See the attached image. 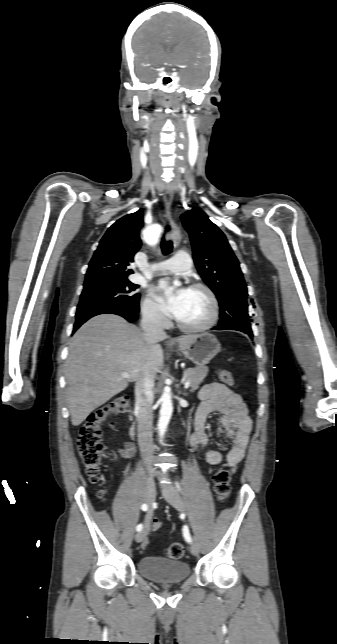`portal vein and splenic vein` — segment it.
I'll use <instances>...</instances> for the list:
<instances>
[{
  "mask_svg": "<svg viewBox=\"0 0 337 644\" xmlns=\"http://www.w3.org/2000/svg\"><path fill=\"white\" fill-rule=\"evenodd\" d=\"M121 376L124 377V378H129L130 377V375L128 373H125V372L122 373ZM184 386H185V388H188L190 386V381L186 380L184 382Z\"/></svg>",
  "mask_w": 337,
  "mask_h": 644,
  "instance_id": "obj_1",
  "label": "portal vein and splenic vein"
}]
</instances>
